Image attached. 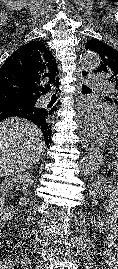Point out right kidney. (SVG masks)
Instances as JSON below:
<instances>
[{
    "mask_svg": "<svg viewBox=\"0 0 118 269\" xmlns=\"http://www.w3.org/2000/svg\"><path fill=\"white\" fill-rule=\"evenodd\" d=\"M34 182V176L29 173H19L10 178L4 180L2 184H0V220L7 221L12 215L15 213L13 206H8L6 204V199L8 197L9 191L13 188L15 184H22V192L25 195L29 194V188ZM23 203L27 202V198L22 199Z\"/></svg>",
    "mask_w": 118,
    "mask_h": 269,
    "instance_id": "obj_1",
    "label": "right kidney"
}]
</instances>
